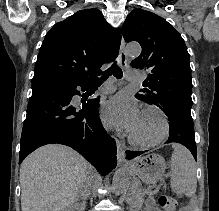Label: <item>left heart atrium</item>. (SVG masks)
<instances>
[{
  "label": "left heart atrium",
  "mask_w": 219,
  "mask_h": 211,
  "mask_svg": "<svg viewBox=\"0 0 219 211\" xmlns=\"http://www.w3.org/2000/svg\"><path fill=\"white\" fill-rule=\"evenodd\" d=\"M140 111L135 100L116 95L101 108V119L107 126H114L131 132L138 122Z\"/></svg>",
  "instance_id": "left-heart-atrium-1"
}]
</instances>
